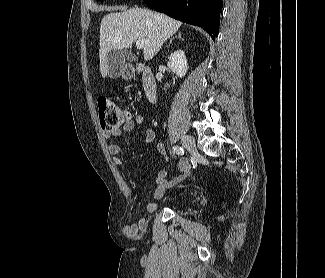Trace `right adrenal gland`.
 I'll use <instances>...</instances> for the list:
<instances>
[{
	"instance_id": "right-adrenal-gland-1",
	"label": "right adrenal gland",
	"mask_w": 325,
	"mask_h": 278,
	"mask_svg": "<svg viewBox=\"0 0 325 278\" xmlns=\"http://www.w3.org/2000/svg\"><path fill=\"white\" fill-rule=\"evenodd\" d=\"M174 38H179V39H180V38H181V34L178 33V35H176L175 37H172V38L170 39V41H169V44L172 43V41H173Z\"/></svg>"
}]
</instances>
